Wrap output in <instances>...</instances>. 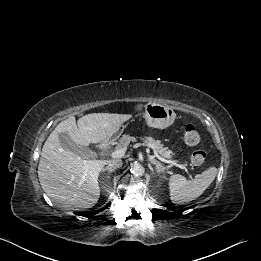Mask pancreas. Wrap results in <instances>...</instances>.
<instances>
[{"label":"pancreas","instance_id":"1","mask_svg":"<svg viewBox=\"0 0 261 261\" xmlns=\"http://www.w3.org/2000/svg\"><path fill=\"white\" fill-rule=\"evenodd\" d=\"M142 141L151 146L163 158L170 159L173 155L171 150L167 147H163L160 140H155L153 137H143ZM130 142H136V138L130 135H123L117 143L116 149L127 148Z\"/></svg>","mask_w":261,"mask_h":261}]
</instances>
